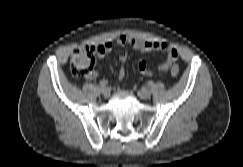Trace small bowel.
<instances>
[{"instance_id":"c3829d8e","label":"small bowel","mask_w":243,"mask_h":167,"mask_svg":"<svg viewBox=\"0 0 243 167\" xmlns=\"http://www.w3.org/2000/svg\"><path fill=\"white\" fill-rule=\"evenodd\" d=\"M116 44L121 45H129L132 48L142 52L147 53L151 51H162L165 54V59L159 64V70L161 72H166L169 70L171 65L178 58V51L175 47L170 45L167 42H155L150 40H142L132 35H121L118 37ZM112 45L110 43H102L94 47L95 53L98 57H104L111 51ZM128 59L127 52H122L119 55L120 62V70H119V79H123L125 76V64ZM138 69L140 73L144 76H151L152 70L148 67L147 63L144 60L139 61ZM98 74L96 72H92L89 76V79L97 78Z\"/></svg>"}]
</instances>
